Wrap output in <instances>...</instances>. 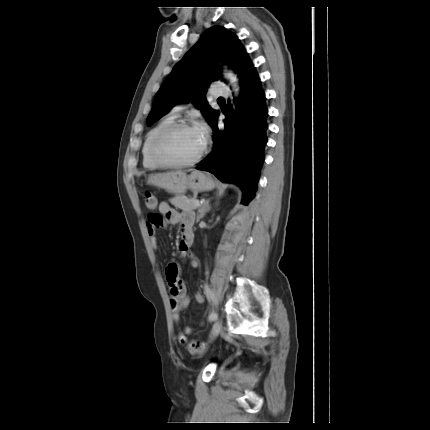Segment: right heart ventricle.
Masks as SVG:
<instances>
[{
    "mask_svg": "<svg viewBox=\"0 0 430 430\" xmlns=\"http://www.w3.org/2000/svg\"><path fill=\"white\" fill-rule=\"evenodd\" d=\"M176 119V115L173 113L167 114L161 118L146 134L143 146H142V163L147 169H158L161 166L157 164L150 156L149 148L153 138L159 133L163 128L173 123Z\"/></svg>",
    "mask_w": 430,
    "mask_h": 430,
    "instance_id": "1",
    "label": "right heart ventricle"
}]
</instances>
